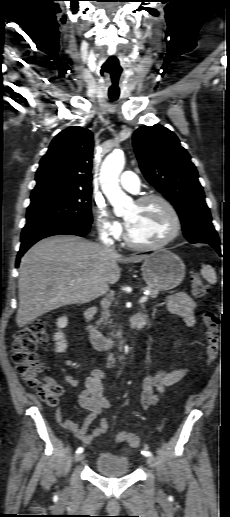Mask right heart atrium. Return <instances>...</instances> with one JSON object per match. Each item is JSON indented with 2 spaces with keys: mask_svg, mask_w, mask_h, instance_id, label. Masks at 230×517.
Segmentation results:
<instances>
[{
  "mask_svg": "<svg viewBox=\"0 0 230 517\" xmlns=\"http://www.w3.org/2000/svg\"><path fill=\"white\" fill-rule=\"evenodd\" d=\"M94 213L96 226L101 237L107 240H116L121 237V224L112 218L103 204H96Z\"/></svg>",
  "mask_w": 230,
  "mask_h": 517,
  "instance_id": "1",
  "label": "right heart atrium"
}]
</instances>
